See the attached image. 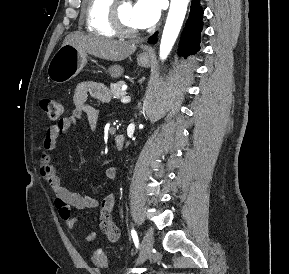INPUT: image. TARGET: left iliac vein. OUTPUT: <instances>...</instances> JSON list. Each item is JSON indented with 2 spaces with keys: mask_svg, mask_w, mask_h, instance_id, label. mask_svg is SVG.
<instances>
[{
  "mask_svg": "<svg viewBox=\"0 0 289 274\" xmlns=\"http://www.w3.org/2000/svg\"><path fill=\"white\" fill-rule=\"evenodd\" d=\"M153 243H154L153 233L151 230H147L144 234L141 243L140 255L137 259L138 264L143 263L151 256Z\"/></svg>",
  "mask_w": 289,
  "mask_h": 274,
  "instance_id": "left-iliac-vein-1",
  "label": "left iliac vein"
}]
</instances>
